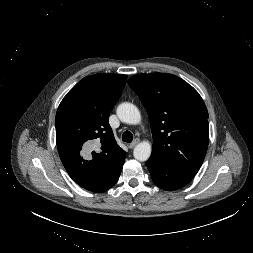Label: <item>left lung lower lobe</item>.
<instances>
[{
    "label": "left lung lower lobe",
    "mask_w": 253,
    "mask_h": 253,
    "mask_svg": "<svg viewBox=\"0 0 253 253\" xmlns=\"http://www.w3.org/2000/svg\"><path fill=\"white\" fill-rule=\"evenodd\" d=\"M145 164L153 182L158 187L167 191H173L184 187L195 176L194 174L167 166L154 157H150Z\"/></svg>",
    "instance_id": "0a47b994"
}]
</instances>
